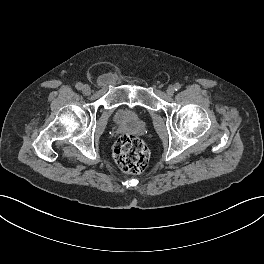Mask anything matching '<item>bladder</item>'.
I'll use <instances>...</instances> for the list:
<instances>
[{"label": "bladder", "instance_id": "obj_1", "mask_svg": "<svg viewBox=\"0 0 264 264\" xmlns=\"http://www.w3.org/2000/svg\"><path fill=\"white\" fill-rule=\"evenodd\" d=\"M136 119V113L129 107H120L114 114V120L118 124H131L134 123Z\"/></svg>", "mask_w": 264, "mask_h": 264}]
</instances>
